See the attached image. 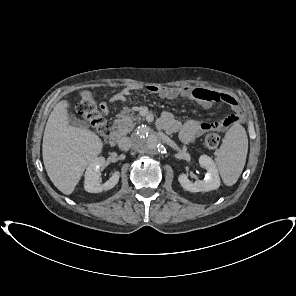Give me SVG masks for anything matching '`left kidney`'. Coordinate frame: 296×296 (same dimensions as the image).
Here are the masks:
<instances>
[{
	"label": "left kidney",
	"instance_id": "obj_1",
	"mask_svg": "<svg viewBox=\"0 0 296 296\" xmlns=\"http://www.w3.org/2000/svg\"><path fill=\"white\" fill-rule=\"evenodd\" d=\"M199 164L207 171L204 180L191 182L188 176L182 173L178 176L180 185L189 192H208L218 189L221 182L217 167L212 158L207 155H201Z\"/></svg>",
	"mask_w": 296,
	"mask_h": 296
}]
</instances>
